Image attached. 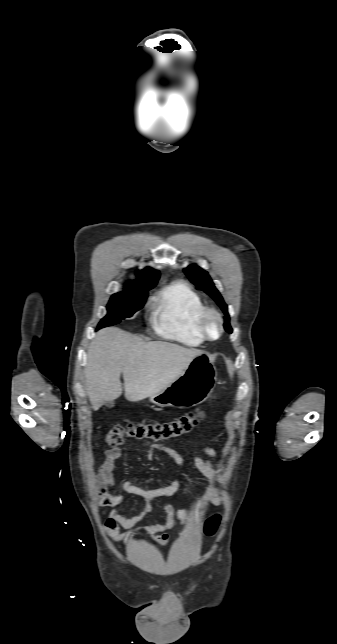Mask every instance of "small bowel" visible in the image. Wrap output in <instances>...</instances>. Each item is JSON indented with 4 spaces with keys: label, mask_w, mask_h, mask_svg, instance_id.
I'll list each match as a JSON object with an SVG mask.
<instances>
[{
    "label": "small bowel",
    "mask_w": 337,
    "mask_h": 644,
    "mask_svg": "<svg viewBox=\"0 0 337 644\" xmlns=\"http://www.w3.org/2000/svg\"><path fill=\"white\" fill-rule=\"evenodd\" d=\"M147 452V459L151 461L154 458L157 450L163 451L171 456L179 467H182L183 462L176 450L171 447L145 441ZM204 453L209 459H205L200 455L195 456V466L197 470L202 473L209 481L210 485L201 500L193 507L175 510L169 505H164L162 510L167 514L164 523H156L148 526L139 527L136 532H144L153 537V539L160 545H166L169 540L168 531L171 530L176 521L183 522L189 516H201L202 508L205 506H217L221 497L217 492L218 477L214 472L211 458L215 457V451L210 448H204ZM122 455V449L115 447L105 452V461L100 466L96 479L100 487L99 503L102 506L113 507L108 518L104 524L106 534L114 541L121 542L132 537L135 532L128 531L121 533L120 528L131 529L140 523L149 513L153 511L152 501L159 497L172 496L179 488V480H175L171 484L155 489H144L135 485L133 482L126 480L122 483L121 488L125 493L133 494L141 498L143 502L142 511L132 517H125L121 512L116 509L121 501L122 496L116 491L112 490L115 480L113 476L114 463Z\"/></svg>",
    "instance_id": "small-bowel-1"
}]
</instances>
